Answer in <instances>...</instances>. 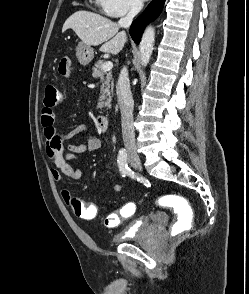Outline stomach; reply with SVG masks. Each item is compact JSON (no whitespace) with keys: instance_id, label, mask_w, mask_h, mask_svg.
Listing matches in <instances>:
<instances>
[{"instance_id":"stomach-1","label":"stomach","mask_w":249,"mask_h":294,"mask_svg":"<svg viewBox=\"0 0 249 294\" xmlns=\"http://www.w3.org/2000/svg\"><path fill=\"white\" fill-rule=\"evenodd\" d=\"M76 57L81 65H88L94 57V50L90 45L79 43L76 48Z\"/></svg>"}]
</instances>
